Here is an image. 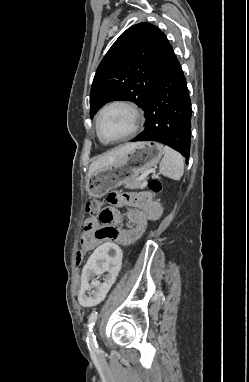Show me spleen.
Listing matches in <instances>:
<instances>
[{"label": "spleen", "mask_w": 249, "mask_h": 382, "mask_svg": "<svg viewBox=\"0 0 249 382\" xmlns=\"http://www.w3.org/2000/svg\"><path fill=\"white\" fill-rule=\"evenodd\" d=\"M164 157L159 164L160 172L173 180H180L184 173V158L174 149L164 146Z\"/></svg>", "instance_id": "spleen-1"}]
</instances>
